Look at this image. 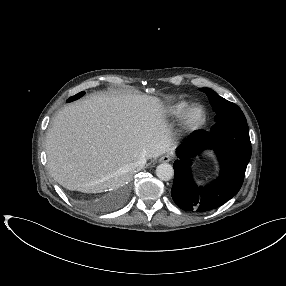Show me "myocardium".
Segmentation results:
<instances>
[{
	"label": "myocardium",
	"instance_id": "f54148a6",
	"mask_svg": "<svg viewBox=\"0 0 286 286\" xmlns=\"http://www.w3.org/2000/svg\"><path fill=\"white\" fill-rule=\"evenodd\" d=\"M199 110L201 115L199 119L193 118V113ZM207 122V111L201 104L195 103L188 107L185 114L182 117L181 126L186 132H195L204 127Z\"/></svg>",
	"mask_w": 286,
	"mask_h": 286
}]
</instances>
